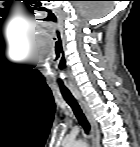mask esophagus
Instances as JSON below:
<instances>
[{
  "label": "esophagus",
  "mask_w": 140,
  "mask_h": 147,
  "mask_svg": "<svg viewBox=\"0 0 140 147\" xmlns=\"http://www.w3.org/2000/svg\"><path fill=\"white\" fill-rule=\"evenodd\" d=\"M75 97L78 100V102L81 106V109H82L83 113L85 114V116L91 126L93 147H101L100 146V130H99L98 123L96 122L90 108L88 107L86 102L83 100V98L80 95H75Z\"/></svg>",
  "instance_id": "obj_1"
}]
</instances>
